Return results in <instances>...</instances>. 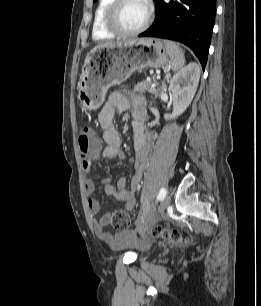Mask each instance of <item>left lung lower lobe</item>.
I'll return each instance as SVG.
<instances>
[{"instance_id":"0a47b994","label":"left lung lower lobe","mask_w":261,"mask_h":306,"mask_svg":"<svg viewBox=\"0 0 261 306\" xmlns=\"http://www.w3.org/2000/svg\"><path fill=\"white\" fill-rule=\"evenodd\" d=\"M156 18L139 37H159L184 43L203 69L207 63L216 15V0H154Z\"/></svg>"}]
</instances>
